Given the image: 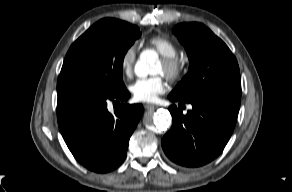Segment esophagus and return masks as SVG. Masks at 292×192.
Masks as SVG:
<instances>
[{
	"instance_id": "1",
	"label": "esophagus",
	"mask_w": 292,
	"mask_h": 192,
	"mask_svg": "<svg viewBox=\"0 0 292 192\" xmlns=\"http://www.w3.org/2000/svg\"><path fill=\"white\" fill-rule=\"evenodd\" d=\"M144 107L149 110V109H155L157 106L154 104H145Z\"/></svg>"
}]
</instances>
